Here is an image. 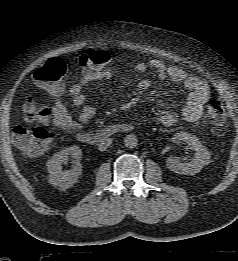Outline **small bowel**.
I'll use <instances>...</instances> for the list:
<instances>
[{
    "mask_svg": "<svg viewBox=\"0 0 238 261\" xmlns=\"http://www.w3.org/2000/svg\"><path fill=\"white\" fill-rule=\"evenodd\" d=\"M138 73H143L148 69H153L159 79H170L171 81L183 85L188 90L186 103L179 113L163 112L157 121L163 125H175L179 120L194 122L201 118L205 104L210 98L208 85L198 77L188 74L184 70L164 64L159 60H149L139 62L134 67ZM113 71L106 68L98 71H85L80 80L73 84L68 90V97L71 103L80 108L77 118H74L68 109V105L57 97L49 110V123L57 130L73 132L80 129L83 124L88 123L95 116L96 109L90 104L89 99L83 94L84 87L92 82L111 79ZM151 87V81L143 78L138 82V88L146 91ZM60 93V92H59ZM59 93H54L59 95Z\"/></svg>",
    "mask_w": 238,
    "mask_h": 261,
    "instance_id": "c3829d8e",
    "label": "small bowel"
}]
</instances>
